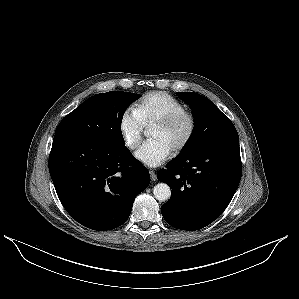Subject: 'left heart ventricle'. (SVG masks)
Returning <instances> with one entry per match:
<instances>
[{
    "mask_svg": "<svg viewBox=\"0 0 299 299\" xmlns=\"http://www.w3.org/2000/svg\"><path fill=\"white\" fill-rule=\"evenodd\" d=\"M187 129L186 122H182L171 129L153 127L150 131V139L163 141L172 151L182 141Z\"/></svg>",
    "mask_w": 299,
    "mask_h": 299,
    "instance_id": "obj_1",
    "label": "left heart ventricle"
}]
</instances>
